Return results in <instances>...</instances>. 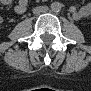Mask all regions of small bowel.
<instances>
[{
  "label": "small bowel",
  "mask_w": 91,
  "mask_h": 91,
  "mask_svg": "<svg viewBox=\"0 0 91 91\" xmlns=\"http://www.w3.org/2000/svg\"><path fill=\"white\" fill-rule=\"evenodd\" d=\"M9 3H10V1H8V0H4V1H3V4H9ZM26 8H27V2H26L25 0H20V1L16 4V6H15V11H16V13H18V14H22V13L25 12ZM72 12H73V15L77 16L80 11L77 10L76 8H74V9L72 10Z\"/></svg>",
  "instance_id": "obj_1"
}]
</instances>
